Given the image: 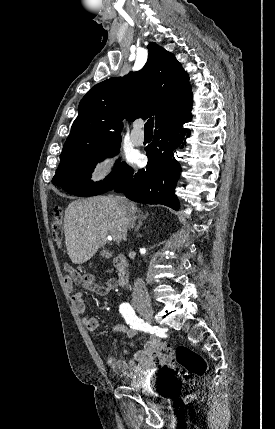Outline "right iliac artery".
Returning a JSON list of instances; mask_svg holds the SVG:
<instances>
[{"mask_svg":"<svg viewBox=\"0 0 275 429\" xmlns=\"http://www.w3.org/2000/svg\"><path fill=\"white\" fill-rule=\"evenodd\" d=\"M119 310L126 323L130 325L131 328L136 330H142L144 328L143 320L135 314L130 304L122 303Z\"/></svg>","mask_w":275,"mask_h":429,"instance_id":"right-iliac-artery-1","label":"right iliac artery"}]
</instances>
